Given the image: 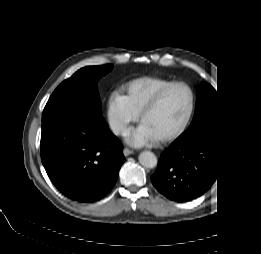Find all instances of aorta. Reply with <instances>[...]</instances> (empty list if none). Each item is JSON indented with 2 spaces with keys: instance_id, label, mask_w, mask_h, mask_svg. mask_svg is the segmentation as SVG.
<instances>
[{
  "instance_id": "762f6f07",
  "label": "aorta",
  "mask_w": 261,
  "mask_h": 254,
  "mask_svg": "<svg viewBox=\"0 0 261 254\" xmlns=\"http://www.w3.org/2000/svg\"><path fill=\"white\" fill-rule=\"evenodd\" d=\"M139 162L145 168L152 169L157 165V157L150 151H143L139 155Z\"/></svg>"
}]
</instances>
